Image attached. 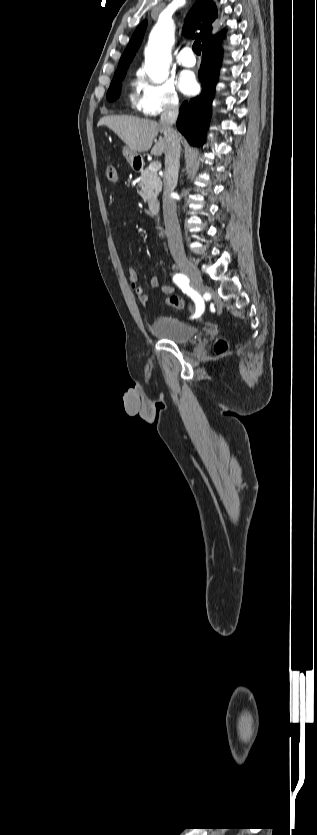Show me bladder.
Listing matches in <instances>:
<instances>
[{
  "label": "bladder",
  "mask_w": 317,
  "mask_h": 835,
  "mask_svg": "<svg viewBox=\"0 0 317 835\" xmlns=\"http://www.w3.org/2000/svg\"><path fill=\"white\" fill-rule=\"evenodd\" d=\"M151 332L156 337L170 340L177 344H184L199 334V329L186 321L174 317L157 318L152 326Z\"/></svg>",
  "instance_id": "1"
}]
</instances>
